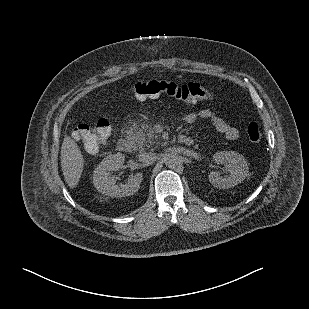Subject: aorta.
Instances as JSON below:
<instances>
[{"label": "aorta", "mask_w": 309, "mask_h": 309, "mask_svg": "<svg viewBox=\"0 0 309 309\" xmlns=\"http://www.w3.org/2000/svg\"><path fill=\"white\" fill-rule=\"evenodd\" d=\"M165 165L168 168H176L181 163V157L176 153L167 154L164 158Z\"/></svg>", "instance_id": "aorta-1"}]
</instances>
